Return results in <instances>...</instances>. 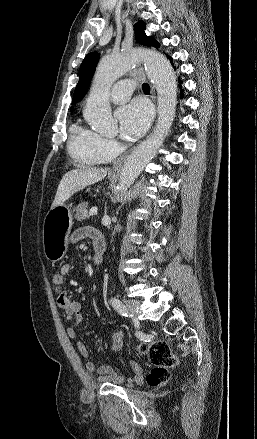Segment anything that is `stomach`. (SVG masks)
<instances>
[{"instance_id": "stomach-1", "label": "stomach", "mask_w": 257, "mask_h": 439, "mask_svg": "<svg viewBox=\"0 0 257 439\" xmlns=\"http://www.w3.org/2000/svg\"><path fill=\"white\" fill-rule=\"evenodd\" d=\"M73 225L71 208L61 204L51 208L43 224V246L48 260L56 262L63 258L68 248V236Z\"/></svg>"}]
</instances>
